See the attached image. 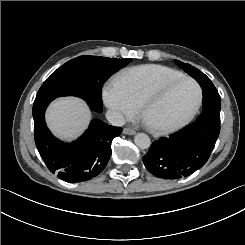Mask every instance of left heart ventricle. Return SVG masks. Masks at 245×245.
<instances>
[{"instance_id":"b2bd125f","label":"left heart ventricle","mask_w":245,"mask_h":245,"mask_svg":"<svg viewBox=\"0 0 245 245\" xmlns=\"http://www.w3.org/2000/svg\"><path fill=\"white\" fill-rule=\"evenodd\" d=\"M195 97V88L187 81L160 88L148 100L146 120L151 123L178 120L191 109Z\"/></svg>"}]
</instances>
